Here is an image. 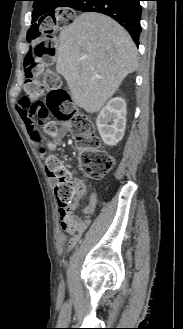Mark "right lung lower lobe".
Instances as JSON below:
<instances>
[{
  "label": "right lung lower lobe",
  "instance_id": "right-lung-lower-lobe-1",
  "mask_svg": "<svg viewBox=\"0 0 183 329\" xmlns=\"http://www.w3.org/2000/svg\"><path fill=\"white\" fill-rule=\"evenodd\" d=\"M141 0H72L69 5L78 11H92L110 16L130 33L139 45L141 33Z\"/></svg>",
  "mask_w": 183,
  "mask_h": 329
}]
</instances>
